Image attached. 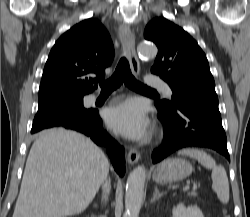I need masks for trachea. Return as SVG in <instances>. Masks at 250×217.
<instances>
[{
	"mask_svg": "<svg viewBox=\"0 0 250 217\" xmlns=\"http://www.w3.org/2000/svg\"><path fill=\"white\" fill-rule=\"evenodd\" d=\"M123 82L128 88L134 90L155 91L136 80L131 73L129 62L125 57L120 59L113 75L108 80L100 82L99 85L103 92H112L120 87Z\"/></svg>",
	"mask_w": 250,
	"mask_h": 217,
	"instance_id": "trachea-1",
	"label": "trachea"
}]
</instances>
